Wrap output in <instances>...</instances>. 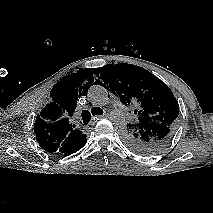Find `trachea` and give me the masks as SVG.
<instances>
[{"label": "trachea", "mask_w": 213, "mask_h": 213, "mask_svg": "<svg viewBox=\"0 0 213 213\" xmlns=\"http://www.w3.org/2000/svg\"><path fill=\"white\" fill-rule=\"evenodd\" d=\"M91 113H92V115H102L103 114V110L101 108H99V107L92 108L91 112H89L88 110H83L81 116H82L83 123L85 125L90 122Z\"/></svg>", "instance_id": "obj_1"}]
</instances>
